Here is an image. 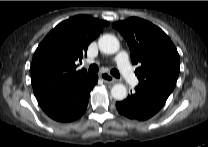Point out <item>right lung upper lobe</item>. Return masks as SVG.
<instances>
[{
	"label": "right lung upper lobe",
	"mask_w": 208,
	"mask_h": 147,
	"mask_svg": "<svg viewBox=\"0 0 208 147\" xmlns=\"http://www.w3.org/2000/svg\"><path fill=\"white\" fill-rule=\"evenodd\" d=\"M108 22L88 15L59 23L39 44L31 65V82L38 99L62 92L86 77L75 61L87 54L88 45Z\"/></svg>",
	"instance_id": "right-lung-upper-lobe-1"
}]
</instances>
